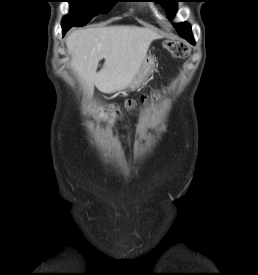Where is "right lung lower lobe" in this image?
Listing matches in <instances>:
<instances>
[{
  "label": "right lung lower lobe",
  "instance_id": "right-lung-lower-lobe-1",
  "mask_svg": "<svg viewBox=\"0 0 258 275\" xmlns=\"http://www.w3.org/2000/svg\"><path fill=\"white\" fill-rule=\"evenodd\" d=\"M72 26H62L63 34H65Z\"/></svg>",
  "mask_w": 258,
  "mask_h": 275
}]
</instances>
